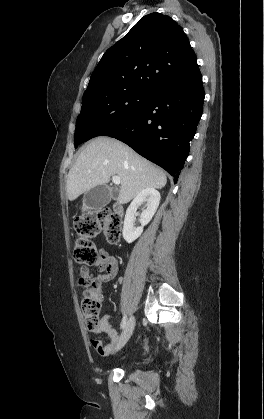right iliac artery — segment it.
I'll return each mask as SVG.
<instances>
[{
	"label": "right iliac artery",
	"instance_id": "right-iliac-artery-1",
	"mask_svg": "<svg viewBox=\"0 0 264 419\" xmlns=\"http://www.w3.org/2000/svg\"><path fill=\"white\" fill-rule=\"evenodd\" d=\"M126 321H127V317H126V316H124V317H123V319H122V322H121V326H120V327H121V329L125 327V325H126Z\"/></svg>",
	"mask_w": 264,
	"mask_h": 419
}]
</instances>
